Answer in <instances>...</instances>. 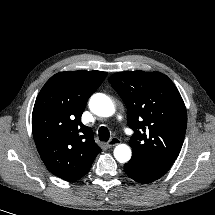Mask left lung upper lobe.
Masks as SVG:
<instances>
[{
  "label": "left lung upper lobe",
  "mask_w": 215,
  "mask_h": 215,
  "mask_svg": "<svg viewBox=\"0 0 215 215\" xmlns=\"http://www.w3.org/2000/svg\"><path fill=\"white\" fill-rule=\"evenodd\" d=\"M126 104L128 125L134 130L129 164L163 176L181 150L187 112L174 83L160 72H118L109 78Z\"/></svg>",
  "instance_id": "5c2ea615"
}]
</instances>
